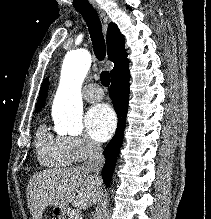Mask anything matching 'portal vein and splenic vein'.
I'll return each instance as SVG.
<instances>
[{
  "label": "portal vein and splenic vein",
  "instance_id": "obj_1",
  "mask_svg": "<svg viewBox=\"0 0 211 219\" xmlns=\"http://www.w3.org/2000/svg\"><path fill=\"white\" fill-rule=\"evenodd\" d=\"M71 215H73L75 217V219H79V214L76 210H73Z\"/></svg>",
  "mask_w": 211,
  "mask_h": 219
}]
</instances>
